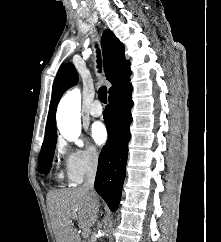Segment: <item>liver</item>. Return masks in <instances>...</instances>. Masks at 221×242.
<instances>
[{"label":"liver","mask_w":221,"mask_h":242,"mask_svg":"<svg viewBox=\"0 0 221 242\" xmlns=\"http://www.w3.org/2000/svg\"><path fill=\"white\" fill-rule=\"evenodd\" d=\"M51 227L56 242H80V235L73 226V219L81 229H89L97 219L100 202L82 188L51 191L47 195Z\"/></svg>","instance_id":"1"}]
</instances>
